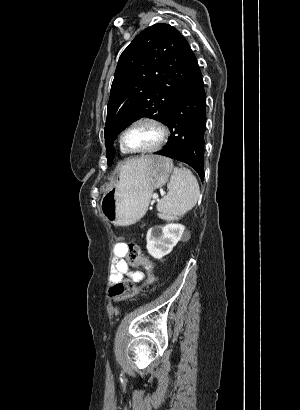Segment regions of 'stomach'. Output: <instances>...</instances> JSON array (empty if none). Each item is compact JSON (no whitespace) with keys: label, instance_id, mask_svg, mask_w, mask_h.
<instances>
[{"label":"stomach","instance_id":"0dacf381","mask_svg":"<svg viewBox=\"0 0 300 410\" xmlns=\"http://www.w3.org/2000/svg\"><path fill=\"white\" fill-rule=\"evenodd\" d=\"M171 172L172 161L163 156H147L135 167L125 164L116 186L101 199L102 214L117 226L135 224L145 215L153 191L167 182Z\"/></svg>","mask_w":300,"mask_h":410}]
</instances>
